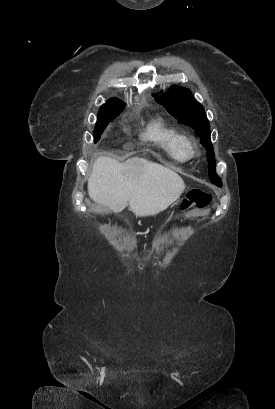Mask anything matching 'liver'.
<instances>
[{"label":"liver","mask_w":275,"mask_h":409,"mask_svg":"<svg viewBox=\"0 0 275 409\" xmlns=\"http://www.w3.org/2000/svg\"><path fill=\"white\" fill-rule=\"evenodd\" d=\"M183 190L184 180L177 172L139 156L125 162L99 156L88 178V194L94 202L112 213H121L129 205L136 217L165 211Z\"/></svg>","instance_id":"1"}]
</instances>
